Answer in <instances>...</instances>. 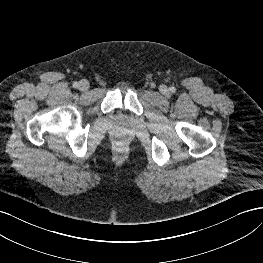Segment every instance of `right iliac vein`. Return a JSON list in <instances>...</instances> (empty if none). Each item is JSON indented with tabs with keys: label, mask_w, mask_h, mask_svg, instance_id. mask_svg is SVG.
Returning <instances> with one entry per match:
<instances>
[{
	"label": "right iliac vein",
	"mask_w": 263,
	"mask_h": 263,
	"mask_svg": "<svg viewBox=\"0 0 263 263\" xmlns=\"http://www.w3.org/2000/svg\"><path fill=\"white\" fill-rule=\"evenodd\" d=\"M89 87H90V84L87 80H81L79 82V90L80 91H86L89 89Z\"/></svg>",
	"instance_id": "obj_1"
}]
</instances>
